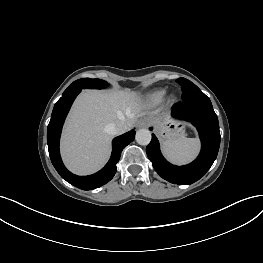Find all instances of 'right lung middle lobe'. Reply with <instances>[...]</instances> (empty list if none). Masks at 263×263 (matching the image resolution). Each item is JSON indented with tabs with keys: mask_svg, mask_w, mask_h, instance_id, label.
<instances>
[{
	"mask_svg": "<svg viewBox=\"0 0 263 263\" xmlns=\"http://www.w3.org/2000/svg\"><path fill=\"white\" fill-rule=\"evenodd\" d=\"M109 84L100 79H91V78H83L76 80L73 82L65 91L63 94L68 93L70 91L76 90V89H84V88H91V89H102L107 87Z\"/></svg>",
	"mask_w": 263,
	"mask_h": 263,
	"instance_id": "obj_1",
	"label": "right lung middle lobe"
}]
</instances>
